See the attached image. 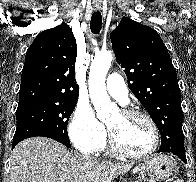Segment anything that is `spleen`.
I'll use <instances>...</instances> for the list:
<instances>
[{
  "instance_id": "spleen-1",
  "label": "spleen",
  "mask_w": 196,
  "mask_h": 182,
  "mask_svg": "<svg viewBox=\"0 0 196 182\" xmlns=\"http://www.w3.org/2000/svg\"><path fill=\"white\" fill-rule=\"evenodd\" d=\"M174 182H183L182 180H176V181H174Z\"/></svg>"
}]
</instances>
